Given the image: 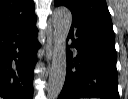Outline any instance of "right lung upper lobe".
Here are the masks:
<instances>
[{
    "instance_id": "1",
    "label": "right lung upper lobe",
    "mask_w": 128,
    "mask_h": 99,
    "mask_svg": "<svg viewBox=\"0 0 128 99\" xmlns=\"http://www.w3.org/2000/svg\"><path fill=\"white\" fill-rule=\"evenodd\" d=\"M33 0H0V33L35 15Z\"/></svg>"
}]
</instances>
